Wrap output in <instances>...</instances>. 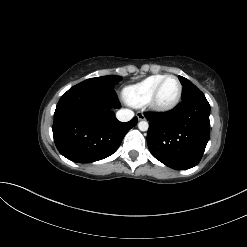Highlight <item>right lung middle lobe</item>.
<instances>
[{
	"label": "right lung middle lobe",
	"instance_id": "right-lung-middle-lobe-1",
	"mask_svg": "<svg viewBox=\"0 0 247 247\" xmlns=\"http://www.w3.org/2000/svg\"><path fill=\"white\" fill-rule=\"evenodd\" d=\"M121 79H122L121 76L109 75L103 77L90 78L81 82V84H94V85H104V86L112 87L115 83H118Z\"/></svg>",
	"mask_w": 247,
	"mask_h": 247
}]
</instances>
